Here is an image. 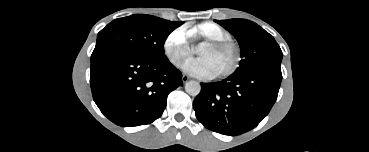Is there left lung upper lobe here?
I'll return each mask as SVG.
<instances>
[{"label": "left lung upper lobe", "mask_w": 369, "mask_h": 152, "mask_svg": "<svg viewBox=\"0 0 369 152\" xmlns=\"http://www.w3.org/2000/svg\"><path fill=\"white\" fill-rule=\"evenodd\" d=\"M239 42L240 66L234 72L239 76L259 73L281 74L282 51L272 35L256 23L245 19L217 21Z\"/></svg>", "instance_id": "5c2ea615"}]
</instances>
